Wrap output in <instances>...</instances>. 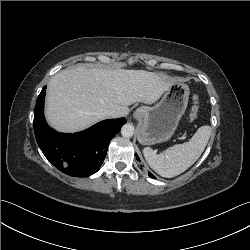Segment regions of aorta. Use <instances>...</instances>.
Instances as JSON below:
<instances>
[{"instance_id": "obj_1", "label": "aorta", "mask_w": 250, "mask_h": 250, "mask_svg": "<svg viewBox=\"0 0 250 250\" xmlns=\"http://www.w3.org/2000/svg\"><path fill=\"white\" fill-rule=\"evenodd\" d=\"M121 134L125 138H130L134 134V126L133 124L126 123L121 128Z\"/></svg>"}]
</instances>
